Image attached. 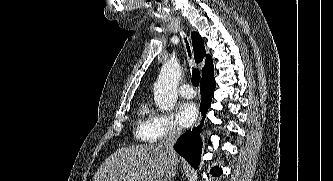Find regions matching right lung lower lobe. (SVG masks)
Masks as SVG:
<instances>
[{"mask_svg":"<svg viewBox=\"0 0 333 181\" xmlns=\"http://www.w3.org/2000/svg\"><path fill=\"white\" fill-rule=\"evenodd\" d=\"M215 90V79L204 80L201 82V113L203 115L202 122L198 128H194L192 131H186L176 142L174 145V149L184 157L191 166L197 168L200 157H201V149H202V141L200 139L199 132L201 131V127L203 121L205 119L206 113L209 109V106L212 101V96ZM214 175H221L222 170L220 168H214L211 171Z\"/></svg>","mask_w":333,"mask_h":181,"instance_id":"right-lung-lower-lobe-1","label":"right lung lower lobe"}]
</instances>
